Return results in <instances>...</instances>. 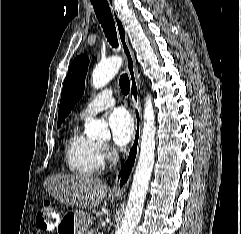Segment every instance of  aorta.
I'll return each instance as SVG.
<instances>
[{"label": "aorta", "instance_id": "762f6f07", "mask_svg": "<svg viewBox=\"0 0 241 234\" xmlns=\"http://www.w3.org/2000/svg\"><path fill=\"white\" fill-rule=\"evenodd\" d=\"M122 65V58L111 57L100 62L93 70L92 85L99 89L108 84L118 73ZM85 133L88 138H109L110 131L106 123L91 119L85 124ZM155 114L151 95H147L143 114V129L141 135L140 154L135 170L127 207L122 219V224L116 234H133L138 225L151 178L155 161Z\"/></svg>", "mask_w": 241, "mask_h": 234}]
</instances>
